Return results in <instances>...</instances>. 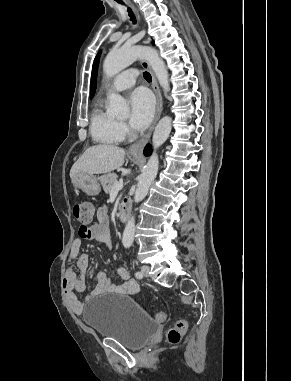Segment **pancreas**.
<instances>
[{"label":"pancreas","instance_id":"1","mask_svg":"<svg viewBox=\"0 0 291 381\" xmlns=\"http://www.w3.org/2000/svg\"><path fill=\"white\" fill-rule=\"evenodd\" d=\"M116 173H108L100 177V182L106 194L110 193L113 185L117 182Z\"/></svg>","mask_w":291,"mask_h":381}]
</instances>
